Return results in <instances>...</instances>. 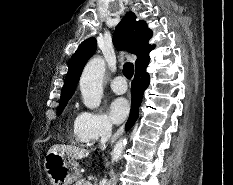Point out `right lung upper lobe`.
Listing matches in <instances>:
<instances>
[{"instance_id":"1","label":"right lung upper lobe","mask_w":233,"mask_h":185,"mask_svg":"<svg viewBox=\"0 0 233 185\" xmlns=\"http://www.w3.org/2000/svg\"><path fill=\"white\" fill-rule=\"evenodd\" d=\"M152 36L144 21H136L133 12H128L122 21L116 26L113 43L118 50L127 48L130 53L137 56L135 68L146 67L150 61L149 52L154 49V45L148 42ZM96 50V39L88 38L82 42L72 56L69 70L65 78L64 86L61 90L62 101H68L76 88L81 72L87 60L94 54Z\"/></svg>"}]
</instances>
